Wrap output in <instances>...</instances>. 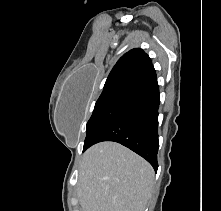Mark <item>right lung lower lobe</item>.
<instances>
[{
  "label": "right lung lower lobe",
  "mask_w": 221,
  "mask_h": 211,
  "mask_svg": "<svg viewBox=\"0 0 221 211\" xmlns=\"http://www.w3.org/2000/svg\"><path fill=\"white\" fill-rule=\"evenodd\" d=\"M159 103L157 82L140 88L98 135L84 145L83 152L95 143L115 141L145 158L157 171Z\"/></svg>",
  "instance_id": "98d812e1"
}]
</instances>
